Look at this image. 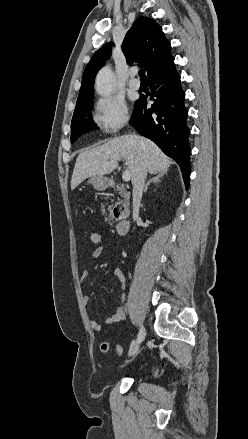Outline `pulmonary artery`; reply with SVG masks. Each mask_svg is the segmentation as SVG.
Returning <instances> with one entry per match:
<instances>
[{
	"mask_svg": "<svg viewBox=\"0 0 248 439\" xmlns=\"http://www.w3.org/2000/svg\"><path fill=\"white\" fill-rule=\"evenodd\" d=\"M128 86H129V88H131L133 90H137L140 87V81L136 78L135 71H131L129 73Z\"/></svg>",
	"mask_w": 248,
	"mask_h": 439,
	"instance_id": "obj_1",
	"label": "pulmonary artery"
}]
</instances>
